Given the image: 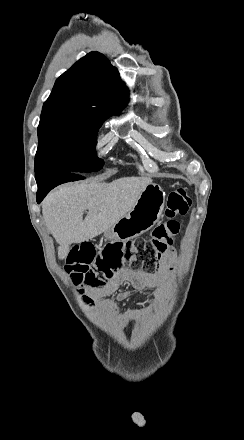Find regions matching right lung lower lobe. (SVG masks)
<instances>
[{
    "label": "right lung lower lobe",
    "mask_w": 244,
    "mask_h": 440,
    "mask_svg": "<svg viewBox=\"0 0 244 440\" xmlns=\"http://www.w3.org/2000/svg\"><path fill=\"white\" fill-rule=\"evenodd\" d=\"M84 177L80 173L70 171H44L36 175V182L38 185L37 203H40L48 192L62 183L81 180Z\"/></svg>",
    "instance_id": "obj_1"
}]
</instances>
